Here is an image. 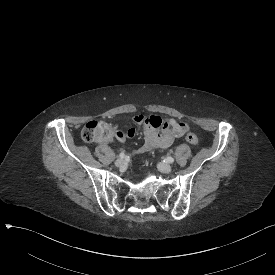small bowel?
<instances>
[{
    "label": "small bowel",
    "mask_w": 275,
    "mask_h": 275,
    "mask_svg": "<svg viewBox=\"0 0 275 275\" xmlns=\"http://www.w3.org/2000/svg\"><path fill=\"white\" fill-rule=\"evenodd\" d=\"M133 122L144 127V141L136 149L137 154H144L153 149H165L172 144L175 138L183 136L188 130L186 123L175 119L163 120L157 113L152 116L137 114L133 117ZM116 135L120 140L126 137L133 138L136 135V129L132 127L127 132L121 129Z\"/></svg>",
    "instance_id": "small-bowel-1"
}]
</instances>
